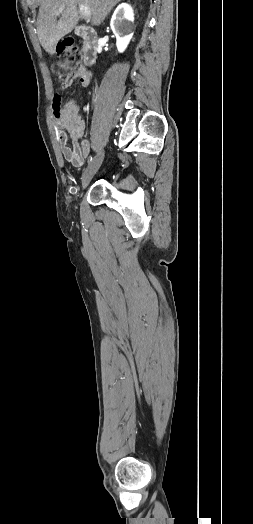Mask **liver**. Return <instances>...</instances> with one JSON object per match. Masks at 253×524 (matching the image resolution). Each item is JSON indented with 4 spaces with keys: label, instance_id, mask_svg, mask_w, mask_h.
Here are the masks:
<instances>
[{
    "label": "liver",
    "instance_id": "6515ba94",
    "mask_svg": "<svg viewBox=\"0 0 253 524\" xmlns=\"http://www.w3.org/2000/svg\"><path fill=\"white\" fill-rule=\"evenodd\" d=\"M121 0H40L37 35L49 54L55 53L59 40L70 33L79 20L77 5L90 7L91 24L100 25L111 9ZM59 17V20H57Z\"/></svg>",
    "mask_w": 253,
    "mask_h": 524
}]
</instances>
